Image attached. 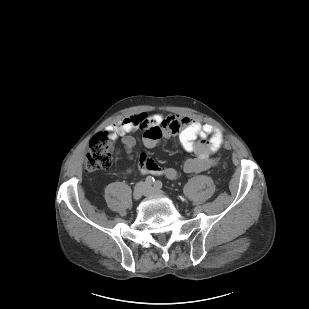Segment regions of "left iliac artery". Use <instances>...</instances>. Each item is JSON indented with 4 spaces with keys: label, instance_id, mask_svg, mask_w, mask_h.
<instances>
[{
    "label": "left iliac artery",
    "instance_id": "1",
    "mask_svg": "<svg viewBox=\"0 0 309 309\" xmlns=\"http://www.w3.org/2000/svg\"><path fill=\"white\" fill-rule=\"evenodd\" d=\"M162 185H163L162 182L159 181V180L155 181V183H154V187H155L156 189H161V188H162ZM177 198H178L179 200L184 201V198H183L182 196H180V195H178Z\"/></svg>",
    "mask_w": 309,
    "mask_h": 309
}]
</instances>
